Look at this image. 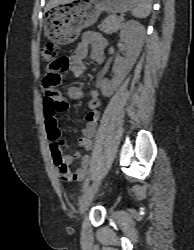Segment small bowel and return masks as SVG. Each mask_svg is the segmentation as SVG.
Listing matches in <instances>:
<instances>
[{"mask_svg": "<svg viewBox=\"0 0 194 250\" xmlns=\"http://www.w3.org/2000/svg\"><path fill=\"white\" fill-rule=\"evenodd\" d=\"M106 40L97 32H85L81 36V40L74 52L64 57L65 63L61 68L56 71H69L72 72L75 76H81L85 70L84 60L90 56L92 60L96 63H103L105 60V50ZM55 72L50 66L46 69V76ZM106 69L99 76V83L102 92H108L112 88V82L108 80L105 76ZM43 81V86L46 90L47 95L52 96L55 102L59 105L53 112L44 111L45 118V127L48 134L51 144V154L53 160L55 158V141L53 137L59 139L60 130L58 127L57 114L59 112L65 111L67 106L65 103V98L62 97L59 92L49 86L48 83ZM66 95L71 100H80L83 98V91L78 86H69L66 91ZM100 99L99 91L95 90L91 93V98L88 101V110L85 115V126L82 130L83 136L78 140V144L81 148L89 151L92 148V137L95 134L97 121L99 117V108H100ZM81 155L78 151L72 152L70 154H64L61 152V158L63 163L68 166L75 159L80 158ZM90 165V157L84 155L81 157V166L75 170L73 173H70V179L67 181H82L86 178L87 170Z\"/></svg>", "mask_w": 194, "mask_h": 250, "instance_id": "obj_1", "label": "small bowel"}]
</instances>
